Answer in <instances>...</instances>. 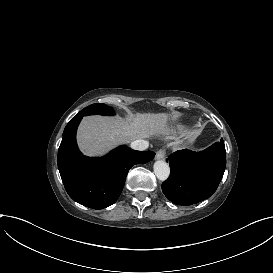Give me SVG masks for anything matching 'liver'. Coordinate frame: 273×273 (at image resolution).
<instances>
[{"instance_id":"liver-1","label":"liver","mask_w":273,"mask_h":273,"mask_svg":"<svg viewBox=\"0 0 273 273\" xmlns=\"http://www.w3.org/2000/svg\"><path fill=\"white\" fill-rule=\"evenodd\" d=\"M181 113L175 112L171 117L176 120ZM166 113H136L126 119L101 116L85 117L78 129L77 140L81 151L88 156L103 155L116 145L129 143L135 139L152 136L169 135ZM182 137H196L198 132L190 133L179 129ZM166 138L171 139V136Z\"/></svg>"}]
</instances>
